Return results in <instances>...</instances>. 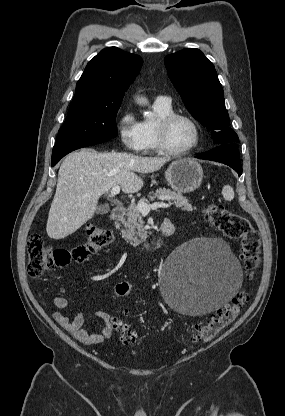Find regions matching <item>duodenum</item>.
Masks as SVG:
<instances>
[{"instance_id":"1","label":"duodenum","mask_w":285,"mask_h":416,"mask_svg":"<svg viewBox=\"0 0 285 416\" xmlns=\"http://www.w3.org/2000/svg\"><path fill=\"white\" fill-rule=\"evenodd\" d=\"M125 215V208L123 206H116L111 214V219L114 223L118 222ZM174 234L173 223L165 219L160 224V232L153 235L151 238L143 241L138 247L137 252L142 253L145 251H151L158 249L162 246L163 242L170 238Z\"/></svg>"}]
</instances>
